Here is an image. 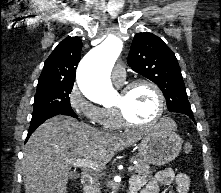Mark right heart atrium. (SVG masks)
Instances as JSON below:
<instances>
[{
	"mask_svg": "<svg viewBox=\"0 0 221 193\" xmlns=\"http://www.w3.org/2000/svg\"><path fill=\"white\" fill-rule=\"evenodd\" d=\"M68 103L79 117L92 124H101L103 119L102 108L89 101L76 84L72 86L68 94Z\"/></svg>",
	"mask_w": 221,
	"mask_h": 193,
	"instance_id": "obj_1",
	"label": "right heart atrium"
}]
</instances>
